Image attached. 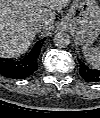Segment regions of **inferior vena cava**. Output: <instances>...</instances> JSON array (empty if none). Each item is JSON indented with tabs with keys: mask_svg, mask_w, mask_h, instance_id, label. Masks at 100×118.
Segmentation results:
<instances>
[{
	"mask_svg": "<svg viewBox=\"0 0 100 118\" xmlns=\"http://www.w3.org/2000/svg\"><path fill=\"white\" fill-rule=\"evenodd\" d=\"M35 31L38 32H44L48 29V26L45 24L38 23L34 26Z\"/></svg>",
	"mask_w": 100,
	"mask_h": 118,
	"instance_id": "obj_1",
	"label": "inferior vena cava"
}]
</instances>
